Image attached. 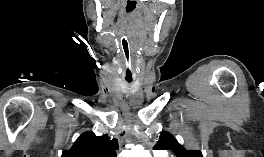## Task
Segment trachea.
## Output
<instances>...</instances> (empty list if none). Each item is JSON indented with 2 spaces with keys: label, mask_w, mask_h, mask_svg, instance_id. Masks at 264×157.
I'll use <instances>...</instances> for the list:
<instances>
[{
  "label": "trachea",
  "mask_w": 264,
  "mask_h": 157,
  "mask_svg": "<svg viewBox=\"0 0 264 157\" xmlns=\"http://www.w3.org/2000/svg\"><path fill=\"white\" fill-rule=\"evenodd\" d=\"M123 75L128 84H131L134 78L133 65H132V54L128 43H123Z\"/></svg>",
  "instance_id": "1"
}]
</instances>
